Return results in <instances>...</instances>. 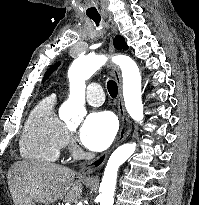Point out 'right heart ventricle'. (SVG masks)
<instances>
[{"label":"right heart ventricle","mask_w":199,"mask_h":205,"mask_svg":"<svg viewBox=\"0 0 199 205\" xmlns=\"http://www.w3.org/2000/svg\"><path fill=\"white\" fill-rule=\"evenodd\" d=\"M56 98L50 95L42 99L30 112L20 139L23 158L54 163L65 146L66 127L55 112Z\"/></svg>","instance_id":"obj_1"}]
</instances>
